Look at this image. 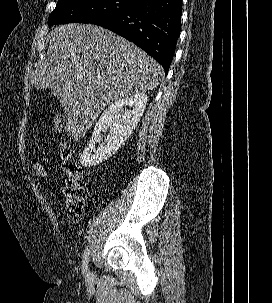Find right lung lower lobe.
<instances>
[{
    "label": "right lung lower lobe",
    "mask_w": 272,
    "mask_h": 303,
    "mask_svg": "<svg viewBox=\"0 0 272 303\" xmlns=\"http://www.w3.org/2000/svg\"><path fill=\"white\" fill-rule=\"evenodd\" d=\"M182 0H140L131 8L96 20L157 60L168 73L181 29Z\"/></svg>",
    "instance_id": "98d812e1"
}]
</instances>
